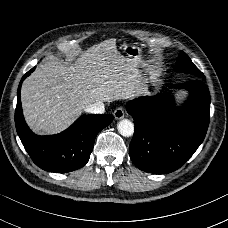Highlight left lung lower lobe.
<instances>
[{
    "instance_id": "0a47b994",
    "label": "left lung lower lobe",
    "mask_w": 228,
    "mask_h": 228,
    "mask_svg": "<svg viewBox=\"0 0 228 228\" xmlns=\"http://www.w3.org/2000/svg\"><path fill=\"white\" fill-rule=\"evenodd\" d=\"M175 87L190 93L181 106H176L167 88L126 105L135 124L129 154L142 171L164 174L177 170L194 154L206 135L210 118L206 84L195 79L169 88Z\"/></svg>"
}]
</instances>
